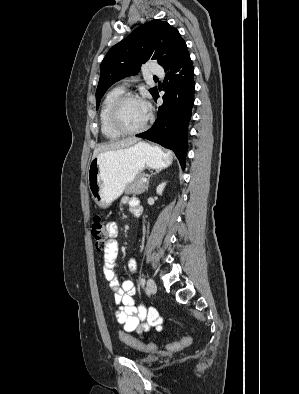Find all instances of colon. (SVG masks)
<instances>
[{"mask_svg":"<svg viewBox=\"0 0 299 394\" xmlns=\"http://www.w3.org/2000/svg\"><path fill=\"white\" fill-rule=\"evenodd\" d=\"M91 235L94 240L95 247L97 249L101 250V249H104L107 247L108 242H109V234L107 231V225H106L102 216L96 215L93 218V221L91 224ZM119 337L123 342H125L133 347H136L140 350H151V349L155 348V346H153V345L145 346V345L135 341L134 339L129 337L124 332H120ZM191 343H192V338L186 337L179 342L171 344L170 347L173 349H178V348H182V347H187Z\"/></svg>","mask_w":299,"mask_h":394,"instance_id":"1","label":"colon"}]
</instances>
